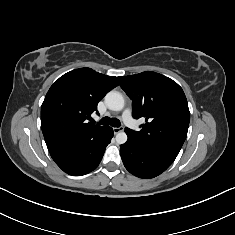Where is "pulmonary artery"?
Wrapping results in <instances>:
<instances>
[{
  "label": "pulmonary artery",
  "mask_w": 235,
  "mask_h": 235,
  "mask_svg": "<svg viewBox=\"0 0 235 235\" xmlns=\"http://www.w3.org/2000/svg\"><path fill=\"white\" fill-rule=\"evenodd\" d=\"M122 117H123L124 123L129 128H131L134 131H137L139 129L138 124L136 123V121L132 117L130 109L124 110Z\"/></svg>",
  "instance_id": "pulmonary-artery-1"
}]
</instances>
